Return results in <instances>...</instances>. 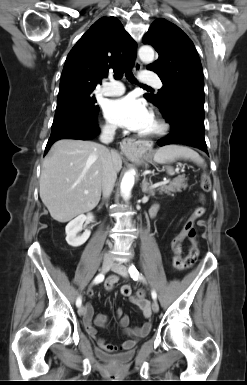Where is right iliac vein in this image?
Masks as SVG:
<instances>
[{"mask_svg": "<svg viewBox=\"0 0 247 385\" xmlns=\"http://www.w3.org/2000/svg\"><path fill=\"white\" fill-rule=\"evenodd\" d=\"M112 266V260L110 258H105L102 262V267H101V271L103 273H106L109 271V269L111 268ZM78 314L79 316H84L86 314V309L84 306H81L79 307L78 309Z\"/></svg>", "mask_w": 247, "mask_h": 385, "instance_id": "1", "label": "right iliac vein"}]
</instances>
